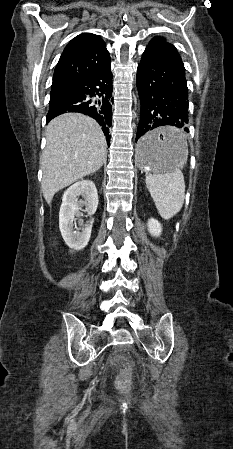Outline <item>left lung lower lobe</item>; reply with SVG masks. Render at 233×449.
<instances>
[{
  "label": "left lung lower lobe",
  "instance_id": "left-lung-lower-lobe-1",
  "mask_svg": "<svg viewBox=\"0 0 233 449\" xmlns=\"http://www.w3.org/2000/svg\"><path fill=\"white\" fill-rule=\"evenodd\" d=\"M141 112L137 140L145 151L176 146L180 137L154 136L159 126H175L188 132V88L185 69L146 48L137 69Z\"/></svg>",
  "mask_w": 233,
  "mask_h": 449
}]
</instances>
